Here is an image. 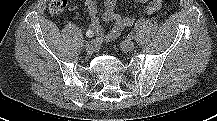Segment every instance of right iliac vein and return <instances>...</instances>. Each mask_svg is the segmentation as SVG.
<instances>
[{
	"mask_svg": "<svg viewBox=\"0 0 217 121\" xmlns=\"http://www.w3.org/2000/svg\"><path fill=\"white\" fill-rule=\"evenodd\" d=\"M85 50L88 54H92L95 51V45L93 43H87Z\"/></svg>",
	"mask_w": 217,
	"mask_h": 121,
	"instance_id": "63e3f726",
	"label": "right iliac vein"
}]
</instances>
